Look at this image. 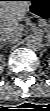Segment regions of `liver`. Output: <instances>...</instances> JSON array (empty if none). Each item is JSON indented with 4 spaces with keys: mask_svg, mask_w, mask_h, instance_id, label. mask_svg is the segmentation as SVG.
Wrapping results in <instances>:
<instances>
[{
    "mask_svg": "<svg viewBox=\"0 0 50 111\" xmlns=\"http://www.w3.org/2000/svg\"><path fill=\"white\" fill-rule=\"evenodd\" d=\"M30 4L29 0H10L0 3V18L5 22L1 26V34L22 30L19 22L23 20Z\"/></svg>",
    "mask_w": 50,
    "mask_h": 111,
    "instance_id": "liver-1",
    "label": "liver"
}]
</instances>
